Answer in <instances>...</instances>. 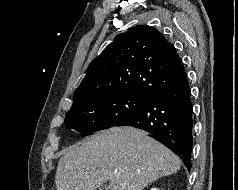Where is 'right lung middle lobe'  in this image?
I'll list each match as a JSON object with an SVG mask.
<instances>
[{
	"label": "right lung middle lobe",
	"instance_id": "dd1d6c3e",
	"mask_svg": "<svg viewBox=\"0 0 238 190\" xmlns=\"http://www.w3.org/2000/svg\"><path fill=\"white\" fill-rule=\"evenodd\" d=\"M150 101V98L129 93L92 97L71 107L65 125L86 136L115 126L142 110Z\"/></svg>",
	"mask_w": 238,
	"mask_h": 190
}]
</instances>
